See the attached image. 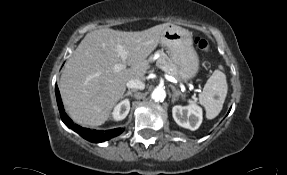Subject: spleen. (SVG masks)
I'll list each match as a JSON object with an SVG mask.
<instances>
[{
	"instance_id": "obj_1",
	"label": "spleen",
	"mask_w": 287,
	"mask_h": 175,
	"mask_svg": "<svg viewBox=\"0 0 287 175\" xmlns=\"http://www.w3.org/2000/svg\"><path fill=\"white\" fill-rule=\"evenodd\" d=\"M219 68L222 69V66ZM220 69L213 72L207 80L203 91L199 94V103L205 108L208 119L218 116L227 96L226 75ZM190 103L194 104V101H190Z\"/></svg>"
}]
</instances>
